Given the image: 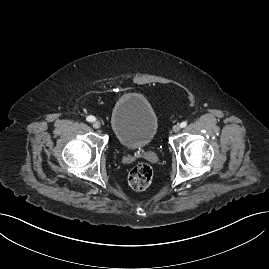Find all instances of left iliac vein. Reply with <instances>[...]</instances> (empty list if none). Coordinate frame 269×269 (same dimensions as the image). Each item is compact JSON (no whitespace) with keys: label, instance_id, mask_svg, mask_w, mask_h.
<instances>
[{"label":"left iliac vein","instance_id":"1","mask_svg":"<svg viewBox=\"0 0 269 269\" xmlns=\"http://www.w3.org/2000/svg\"><path fill=\"white\" fill-rule=\"evenodd\" d=\"M173 132L177 133L180 131V126L179 125H174L172 128Z\"/></svg>","mask_w":269,"mask_h":269}]
</instances>
